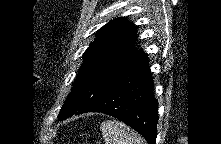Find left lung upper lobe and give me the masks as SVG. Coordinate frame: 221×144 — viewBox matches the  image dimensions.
I'll use <instances>...</instances> for the list:
<instances>
[{
  "label": "left lung upper lobe",
  "instance_id": "1",
  "mask_svg": "<svg viewBox=\"0 0 221 144\" xmlns=\"http://www.w3.org/2000/svg\"><path fill=\"white\" fill-rule=\"evenodd\" d=\"M135 24L117 18L100 28L83 54L72 90L60 111V118L84 113L106 92L116 78L143 53L134 47Z\"/></svg>",
  "mask_w": 221,
  "mask_h": 144
}]
</instances>
